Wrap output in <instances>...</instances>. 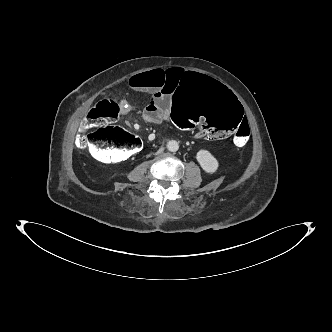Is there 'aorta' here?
<instances>
[{
	"instance_id": "762f6f07",
	"label": "aorta",
	"mask_w": 332,
	"mask_h": 332,
	"mask_svg": "<svg viewBox=\"0 0 332 332\" xmlns=\"http://www.w3.org/2000/svg\"><path fill=\"white\" fill-rule=\"evenodd\" d=\"M167 149L171 152H176L179 149V144L175 140H170L167 143Z\"/></svg>"
}]
</instances>
